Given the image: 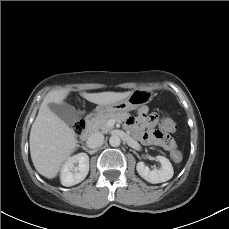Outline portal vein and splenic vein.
I'll use <instances>...</instances> for the list:
<instances>
[{"mask_svg": "<svg viewBox=\"0 0 229 229\" xmlns=\"http://www.w3.org/2000/svg\"><path fill=\"white\" fill-rule=\"evenodd\" d=\"M114 124H115V120H109L108 121V125L109 126H114Z\"/></svg>", "mask_w": 229, "mask_h": 229, "instance_id": "portal-vein-and-splenic-vein-1", "label": "portal vein and splenic vein"}]
</instances>
